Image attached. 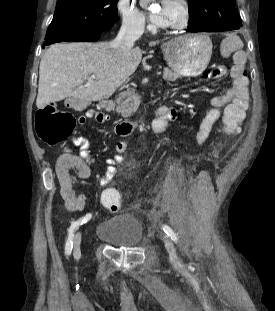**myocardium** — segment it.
Segmentation results:
<instances>
[{
    "mask_svg": "<svg viewBox=\"0 0 275 311\" xmlns=\"http://www.w3.org/2000/svg\"><path fill=\"white\" fill-rule=\"evenodd\" d=\"M173 2H175L180 9V18L176 23L165 26V28L176 31L187 27L190 20V7L187 0H173Z\"/></svg>",
    "mask_w": 275,
    "mask_h": 311,
    "instance_id": "obj_1",
    "label": "myocardium"
}]
</instances>
